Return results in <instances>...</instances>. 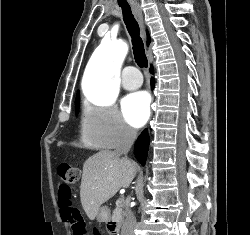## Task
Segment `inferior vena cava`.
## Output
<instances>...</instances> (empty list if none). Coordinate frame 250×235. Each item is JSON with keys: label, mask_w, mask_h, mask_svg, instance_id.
I'll return each mask as SVG.
<instances>
[{"label": "inferior vena cava", "mask_w": 250, "mask_h": 235, "mask_svg": "<svg viewBox=\"0 0 250 235\" xmlns=\"http://www.w3.org/2000/svg\"><path fill=\"white\" fill-rule=\"evenodd\" d=\"M136 136L137 133L135 130L126 125H122L121 137L115 153L119 156H127V153L129 152L133 142L135 141ZM125 216L126 218L122 226L121 235H134L136 218L130 209H126Z\"/></svg>", "instance_id": "602c4592"}]
</instances>
